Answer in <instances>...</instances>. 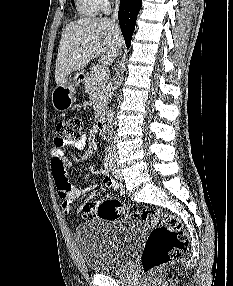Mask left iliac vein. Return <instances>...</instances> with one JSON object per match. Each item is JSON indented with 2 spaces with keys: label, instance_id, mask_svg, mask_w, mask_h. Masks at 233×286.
<instances>
[{
  "label": "left iliac vein",
  "instance_id": "obj_1",
  "mask_svg": "<svg viewBox=\"0 0 233 286\" xmlns=\"http://www.w3.org/2000/svg\"><path fill=\"white\" fill-rule=\"evenodd\" d=\"M111 171H112V174L115 178H117V179L121 178V172H120V169L117 165L116 157L113 158V164H112Z\"/></svg>",
  "mask_w": 233,
  "mask_h": 286
}]
</instances>
